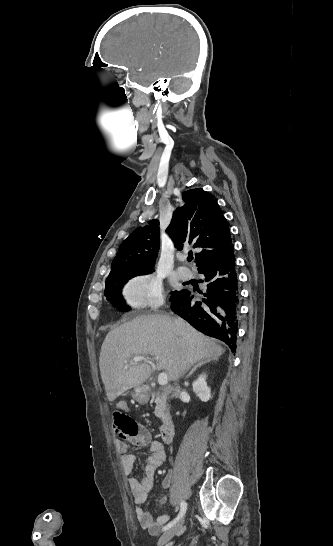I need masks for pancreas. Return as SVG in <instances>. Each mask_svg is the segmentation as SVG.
<instances>
[{"label": "pancreas", "mask_w": 333, "mask_h": 546, "mask_svg": "<svg viewBox=\"0 0 333 546\" xmlns=\"http://www.w3.org/2000/svg\"><path fill=\"white\" fill-rule=\"evenodd\" d=\"M154 402L156 404L154 413L157 417H161L163 409L165 408V396L157 394Z\"/></svg>", "instance_id": "obj_1"}]
</instances>
